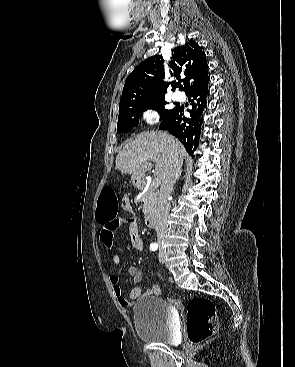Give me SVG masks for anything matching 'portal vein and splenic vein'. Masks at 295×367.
I'll use <instances>...</instances> for the list:
<instances>
[{
	"instance_id": "obj_1",
	"label": "portal vein and splenic vein",
	"mask_w": 295,
	"mask_h": 367,
	"mask_svg": "<svg viewBox=\"0 0 295 367\" xmlns=\"http://www.w3.org/2000/svg\"><path fill=\"white\" fill-rule=\"evenodd\" d=\"M153 161H155V159H153ZM160 183H161V180H160V178L157 177L153 180L152 185L155 186V187H158L160 185Z\"/></svg>"
}]
</instances>
